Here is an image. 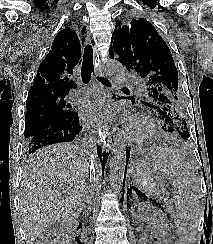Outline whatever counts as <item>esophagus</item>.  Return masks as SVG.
<instances>
[{
    "label": "esophagus",
    "mask_w": 213,
    "mask_h": 244,
    "mask_svg": "<svg viewBox=\"0 0 213 244\" xmlns=\"http://www.w3.org/2000/svg\"><path fill=\"white\" fill-rule=\"evenodd\" d=\"M95 55H97V50H95ZM97 57V56H96ZM96 68L98 70V74L100 76H103L106 74L104 66L102 65L101 62H99L96 58ZM100 90L101 93L107 96H111L110 92L104 87V86H100ZM115 119L111 120L110 122H107L109 124H103L100 125L101 127L99 128L100 131L103 134V141L104 144H106L107 146H109L111 148L112 146V142L115 139V129H116V125H115Z\"/></svg>",
    "instance_id": "obj_1"
}]
</instances>
